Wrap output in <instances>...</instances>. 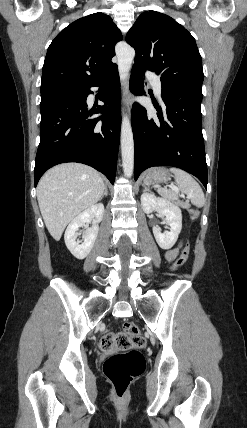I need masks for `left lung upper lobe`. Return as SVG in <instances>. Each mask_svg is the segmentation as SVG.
<instances>
[{
    "instance_id": "1",
    "label": "left lung upper lobe",
    "mask_w": 247,
    "mask_h": 428,
    "mask_svg": "<svg viewBox=\"0 0 247 428\" xmlns=\"http://www.w3.org/2000/svg\"><path fill=\"white\" fill-rule=\"evenodd\" d=\"M136 51L134 67L160 75L162 88L202 97V59L193 36L171 17L142 13L127 33Z\"/></svg>"
}]
</instances>
